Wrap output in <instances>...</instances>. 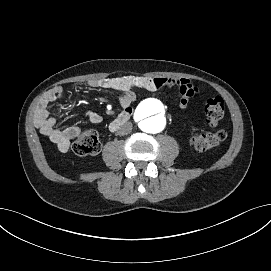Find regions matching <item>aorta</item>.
I'll return each mask as SVG.
<instances>
[{
	"label": "aorta",
	"mask_w": 271,
	"mask_h": 271,
	"mask_svg": "<svg viewBox=\"0 0 271 271\" xmlns=\"http://www.w3.org/2000/svg\"><path fill=\"white\" fill-rule=\"evenodd\" d=\"M134 119L142 131L150 134L159 133L166 126V107L157 99H145L136 107Z\"/></svg>",
	"instance_id": "aorta-1"
}]
</instances>
